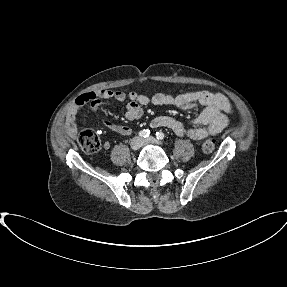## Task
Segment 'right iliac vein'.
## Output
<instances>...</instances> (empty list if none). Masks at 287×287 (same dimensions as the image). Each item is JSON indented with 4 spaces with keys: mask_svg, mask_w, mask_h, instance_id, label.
Masks as SVG:
<instances>
[{
    "mask_svg": "<svg viewBox=\"0 0 287 287\" xmlns=\"http://www.w3.org/2000/svg\"><path fill=\"white\" fill-rule=\"evenodd\" d=\"M142 144V139L140 137H134L130 142V147L132 150H138Z\"/></svg>",
    "mask_w": 287,
    "mask_h": 287,
    "instance_id": "1",
    "label": "right iliac vein"
}]
</instances>
